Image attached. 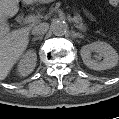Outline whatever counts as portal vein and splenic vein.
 I'll return each mask as SVG.
<instances>
[{"instance_id":"obj_1","label":"portal vein and splenic vein","mask_w":119,"mask_h":119,"mask_svg":"<svg viewBox=\"0 0 119 119\" xmlns=\"http://www.w3.org/2000/svg\"><path fill=\"white\" fill-rule=\"evenodd\" d=\"M36 20H37V17L36 16H29L28 18H26V22L27 23H34V22H36ZM73 20V19H72Z\"/></svg>"}]
</instances>
